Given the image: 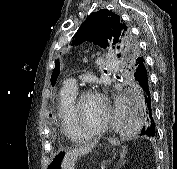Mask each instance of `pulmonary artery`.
<instances>
[{
    "mask_svg": "<svg viewBox=\"0 0 177 169\" xmlns=\"http://www.w3.org/2000/svg\"><path fill=\"white\" fill-rule=\"evenodd\" d=\"M102 63L108 68H112L115 66V62H113L112 60H109V59H104L102 61ZM64 87L71 89V90H77V80L73 77L68 78L64 82Z\"/></svg>",
    "mask_w": 177,
    "mask_h": 169,
    "instance_id": "pulmonary-artery-1",
    "label": "pulmonary artery"
}]
</instances>
